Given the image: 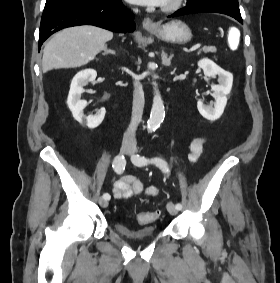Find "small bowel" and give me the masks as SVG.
Instances as JSON below:
<instances>
[{
  "mask_svg": "<svg viewBox=\"0 0 280 283\" xmlns=\"http://www.w3.org/2000/svg\"><path fill=\"white\" fill-rule=\"evenodd\" d=\"M204 138H195L190 145L189 161L195 162L203 151ZM158 188L155 186L144 187L134 176L126 174L120 177L113 186V195L116 199H130L142 194L156 196Z\"/></svg>",
  "mask_w": 280,
  "mask_h": 283,
  "instance_id": "1",
  "label": "small bowel"
}]
</instances>
